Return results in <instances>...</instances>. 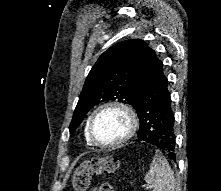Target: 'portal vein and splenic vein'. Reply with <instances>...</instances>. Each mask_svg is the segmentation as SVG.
<instances>
[{
    "instance_id": "obj_1",
    "label": "portal vein and splenic vein",
    "mask_w": 221,
    "mask_h": 191,
    "mask_svg": "<svg viewBox=\"0 0 221 191\" xmlns=\"http://www.w3.org/2000/svg\"><path fill=\"white\" fill-rule=\"evenodd\" d=\"M143 187L146 188L147 190L150 189V187L147 185H143Z\"/></svg>"
}]
</instances>
